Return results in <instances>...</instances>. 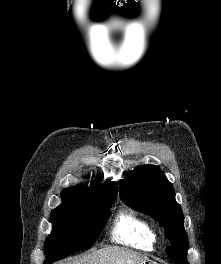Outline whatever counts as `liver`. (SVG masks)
Listing matches in <instances>:
<instances>
[{
  "label": "liver",
  "mask_w": 221,
  "mask_h": 264,
  "mask_svg": "<svg viewBox=\"0 0 221 264\" xmlns=\"http://www.w3.org/2000/svg\"><path fill=\"white\" fill-rule=\"evenodd\" d=\"M148 258L120 247H107L57 264H140Z\"/></svg>",
  "instance_id": "liver-1"
}]
</instances>
